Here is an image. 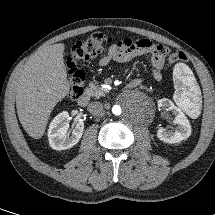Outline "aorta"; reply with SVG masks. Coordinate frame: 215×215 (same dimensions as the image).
<instances>
[{"label":"aorta","mask_w":215,"mask_h":215,"mask_svg":"<svg viewBox=\"0 0 215 215\" xmlns=\"http://www.w3.org/2000/svg\"><path fill=\"white\" fill-rule=\"evenodd\" d=\"M113 113L116 114V115H119L121 113V109L119 106H115L113 108Z\"/></svg>","instance_id":"762f6f07"}]
</instances>
